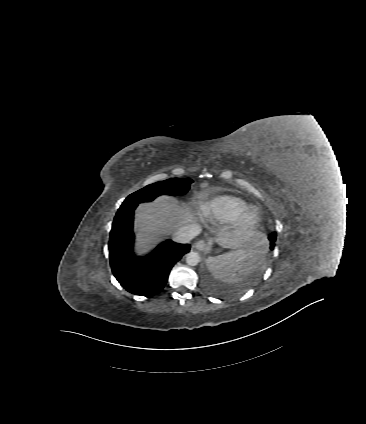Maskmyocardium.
Returning a JSON list of instances; mask_svg holds the SVG:
<instances>
[{"mask_svg":"<svg viewBox=\"0 0 366 424\" xmlns=\"http://www.w3.org/2000/svg\"><path fill=\"white\" fill-rule=\"evenodd\" d=\"M259 213L254 207H246L237 217L235 223L236 232H246L252 229L258 222Z\"/></svg>","mask_w":366,"mask_h":424,"instance_id":"obj_1","label":"myocardium"}]
</instances>
